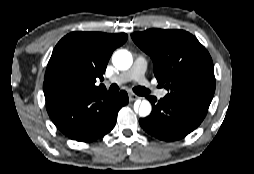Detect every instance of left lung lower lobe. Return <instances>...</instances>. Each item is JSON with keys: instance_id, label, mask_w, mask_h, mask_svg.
Returning <instances> with one entry per match:
<instances>
[{"instance_id": "obj_1", "label": "left lung lower lobe", "mask_w": 254, "mask_h": 174, "mask_svg": "<svg viewBox=\"0 0 254 174\" xmlns=\"http://www.w3.org/2000/svg\"><path fill=\"white\" fill-rule=\"evenodd\" d=\"M148 99L152 112L139 123L147 133L164 141H176L187 136L201 124L209 108L194 101L166 96L159 101L153 96Z\"/></svg>"}]
</instances>
